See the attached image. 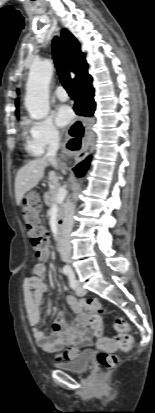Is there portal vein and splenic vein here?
<instances>
[{
	"label": "portal vein and splenic vein",
	"instance_id": "18ae733b",
	"mask_svg": "<svg viewBox=\"0 0 155 413\" xmlns=\"http://www.w3.org/2000/svg\"><path fill=\"white\" fill-rule=\"evenodd\" d=\"M67 195V190L65 188H59L58 192H57V198H56V202L60 203L62 202Z\"/></svg>",
	"mask_w": 155,
	"mask_h": 413
}]
</instances>
